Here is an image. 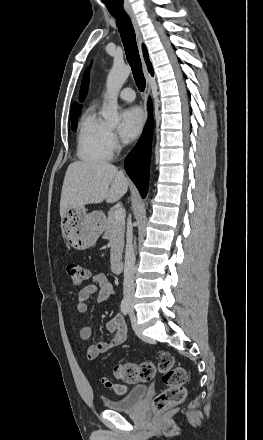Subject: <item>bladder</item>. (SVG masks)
<instances>
[{
	"label": "bladder",
	"mask_w": 263,
	"mask_h": 440,
	"mask_svg": "<svg viewBox=\"0 0 263 440\" xmlns=\"http://www.w3.org/2000/svg\"><path fill=\"white\" fill-rule=\"evenodd\" d=\"M147 386L145 385H139L131 388L128 393L118 399H105L104 405L114 411H121V412H127V411H133L137 408L139 403L143 400L147 393Z\"/></svg>",
	"instance_id": "1"
}]
</instances>
